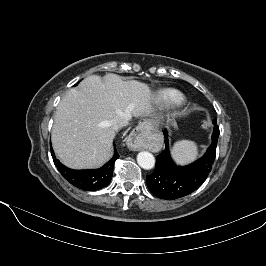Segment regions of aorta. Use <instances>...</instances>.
Returning a JSON list of instances; mask_svg holds the SVG:
<instances>
[{
	"instance_id": "1",
	"label": "aorta",
	"mask_w": 266,
	"mask_h": 266,
	"mask_svg": "<svg viewBox=\"0 0 266 266\" xmlns=\"http://www.w3.org/2000/svg\"><path fill=\"white\" fill-rule=\"evenodd\" d=\"M137 162L145 170H150L155 166L154 156L147 151H142L137 155Z\"/></svg>"
}]
</instances>
